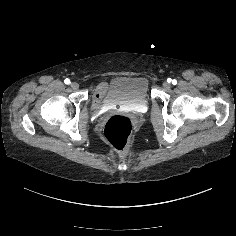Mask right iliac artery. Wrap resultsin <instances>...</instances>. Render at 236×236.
<instances>
[{"mask_svg": "<svg viewBox=\"0 0 236 236\" xmlns=\"http://www.w3.org/2000/svg\"><path fill=\"white\" fill-rule=\"evenodd\" d=\"M64 83H65V84H70V80H69L68 78H66V79L64 80Z\"/></svg>", "mask_w": 236, "mask_h": 236, "instance_id": "1", "label": "right iliac artery"}]
</instances>
